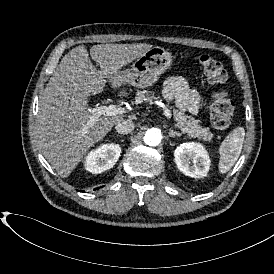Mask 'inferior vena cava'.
<instances>
[{"label":"inferior vena cava","mask_w":274,"mask_h":274,"mask_svg":"<svg viewBox=\"0 0 274 274\" xmlns=\"http://www.w3.org/2000/svg\"><path fill=\"white\" fill-rule=\"evenodd\" d=\"M115 129L119 134H129L134 129V124L130 120H122L115 125Z\"/></svg>","instance_id":"inferior-vena-cava-1"}]
</instances>
